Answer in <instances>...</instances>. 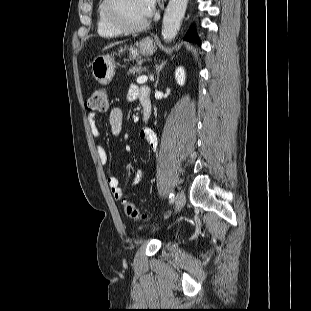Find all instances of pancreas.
<instances>
[{"instance_id": "pancreas-1", "label": "pancreas", "mask_w": 311, "mask_h": 311, "mask_svg": "<svg viewBox=\"0 0 311 311\" xmlns=\"http://www.w3.org/2000/svg\"><path fill=\"white\" fill-rule=\"evenodd\" d=\"M144 69L141 66H133L129 69L128 74H140Z\"/></svg>"}]
</instances>
